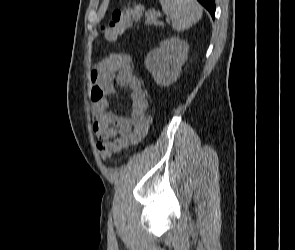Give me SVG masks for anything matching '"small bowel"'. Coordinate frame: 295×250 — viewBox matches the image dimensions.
I'll return each mask as SVG.
<instances>
[{
  "label": "small bowel",
  "instance_id": "small-bowel-1",
  "mask_svg": "<svg viewBox=\"0 0 295 250\" xmlns=\"http://www.w3.org/2000/svg\"><path fill=\"white\" fill-rule=\"evenodd\" d=\"M91 113L93 132L102 141H119L123 148L134 144V128L146 118L149 102L141 81L134 75L129 54H112L91 72ZM115 85L129 91V114L119 116L110 110L109 97Z\"/></svg>",
  "mask_w": 295,
  "mask_h": 250
}]
</instances>
